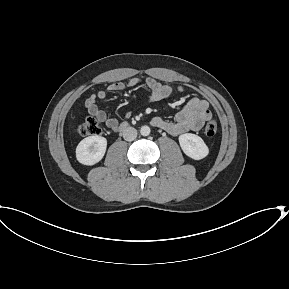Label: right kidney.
I'll list each match as a JSON object with an SVG mask.
<instances>
[{
  "label": "right kidney",
  "mask_w": 289,
  "mask_h": 289,
  "mask_svg": "<svg viewBox=\"0 0 289 289\" xmlns=\"http://www.w3.org/2000/svg\"><path fill=\"white\" fill-rule=\"evenodd\" d=\"M107 140L101 136H89L83 139L76 148V158L84 165H94L104 156Z\"/></svg>",
  "instance_id": "obj_1"
}]
</instances>
